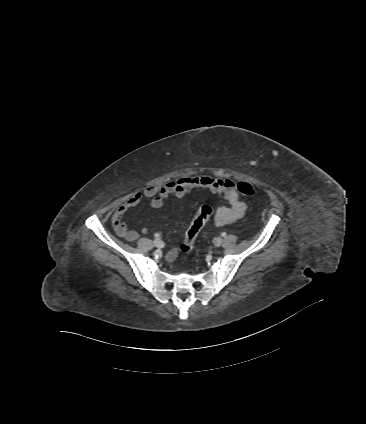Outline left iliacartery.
<instances>
[{"mask_svg":"<svg viewBox=\"0 0 366 424\" xmlns=\"http://www.w3.org/2000/svg\"><path fill=\"white\" fill-rule=\"evenodd\" d=\"M221 235H222L223 237H225V236H226V232H222V233H221Z\"/></svg>","mask_w":366,"mask_h":424,"instance_id":"obj_1","label":"left iliac artery"}]
</instances>
